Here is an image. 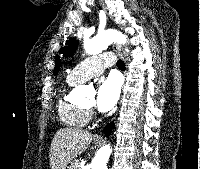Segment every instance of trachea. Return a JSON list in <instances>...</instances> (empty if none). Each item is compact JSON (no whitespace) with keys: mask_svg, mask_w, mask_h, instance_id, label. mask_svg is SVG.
Wrapping results in <instances>:
<instances>
[{"mask_svg":"<svg viewBox=\"0 0 200 169\" xmlns=\"http://www.w3.org/2000/svg\"><path fill=\"white\" fill-rule=\"evenodd\" d=\"M117 67H118L120 70H125V63H124L122 60H118V61H117Z\"/></svg>","mask_w":200,"mask_h":169,"instance_id":"obj_1","label":"trachea"}]
</instances>
